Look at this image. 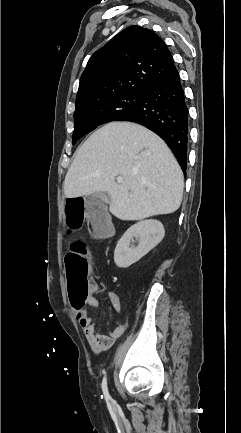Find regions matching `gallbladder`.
I'll list each match as a JSON object with an SVG mask.
<instances>
[{"instance_id":"bac80fb5","label":"gallbladder","mask_w":241,"mask_h":433,"mask_svg":"<svg viewBox=\"0 0 241 433\" xmlns=\"http://www.w3.org/2000/svg\"><path fill=\"white\" fill-rule=\"evenodd\" d=\"M88 200L89 201L98 200L99 202L103 203V202H107L108 196L104 192H97V193L90 195L88 197ZM89 209L94 210V208H92L91 206H89ZM99 209H102L104 211V213L107 214V207L104 204H100L99 207L97 209H95V211H98Z\"/></svg>"}]
</instances>
